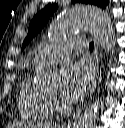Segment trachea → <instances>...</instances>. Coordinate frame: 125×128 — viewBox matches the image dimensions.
I'll return each instance as SVG.
<instances>
[{"instance_id": "trachea-1", "label": "trachea", "mask_w": 125, "mask_h": 128, "mask_svg": "<svg viewBox=\"0 0 125 128\" xmlns=\"http://www.w3.org/2000/svg\"><path fill=\"white\" fill-rule=\"evenodd\" d=\"M89 49H90L91 51H93V49H94V43H93V42H91V43L89 44Z\"/></svg>"}]
</instances>
